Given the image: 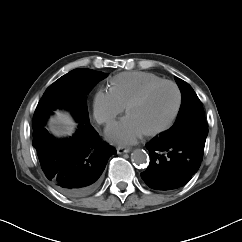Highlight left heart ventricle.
Returning a JSON list of instances; mask_svg holds the SVG:
<instances>
[{
    "mask_svg": "<svg viewBox=\"0 0 242 242\" xmlns=\"http://www.w3.org/2000/svg\"><path fill=\"white\" fill-rule=\"evenodd\" d=\"M176 102L175 89L164 84L154 89L144 101L135 105L128 115L147 132L161 127L170 119Z\"/></svg>",
    "mask_w": 242,
    "mask_h": 242,
    "instance_id": "1",
    "label": "left heart ventricle"
}]
</instances>
